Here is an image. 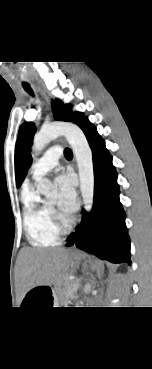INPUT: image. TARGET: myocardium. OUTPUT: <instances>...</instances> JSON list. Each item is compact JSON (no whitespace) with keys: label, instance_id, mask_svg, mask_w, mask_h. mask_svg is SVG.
Here are the masks:
<instances>
[{"label":"myocardium","instance_id":"1","mask_svg":"<svg viewBox=\"0 0 152 369\" xmlns=\"http://www.w3.org/2000/svg\"><path fill=\"white\" fill-rule=\"evenodd\" d=\"M51 212H52V216H53V220L55 221L56 226L59 228V230L62 231H67L71 228L72 222L69 219H66L64 217H62L56 210L54 207L49 206Z\"/></svg>","mask_w":152,"mask_h":369}]
</instances>
